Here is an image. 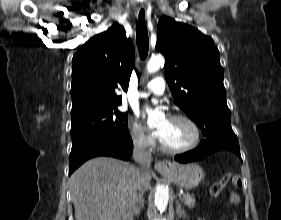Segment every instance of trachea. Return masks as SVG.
<instances>
[{"mask_svg":"<svg viewBox=\"0 0 281 220\" xmlns=\"http://www.w3.org/2000/svg\"><path fill=\"white\" fill-rule=\"evenodd\" d=\"M136 40L140 57L144 60L149 50L148 32L144 23H138L136 25Z\"/></svg>","mask_w":281,"mask_h":220,"instance_id":"trachea-1","label":"trachea"}]
</instances>
